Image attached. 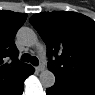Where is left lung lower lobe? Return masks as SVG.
<instances>
[{"instance_id": "obj_1", "label": "left lung lower lobe", "mask_w": 95, "mask_h": 95, "mask_svg": "<svg viewBox=\"0 0 95 95\" xmlns=\"http://www.w3.org/2000/svg\"><path fill=\"white\" fill-rule=\"evenodd\" d=\"M47 95H95V83L71 77H56L53 87L46 90Z\"/></svg>"}]
</instances>
